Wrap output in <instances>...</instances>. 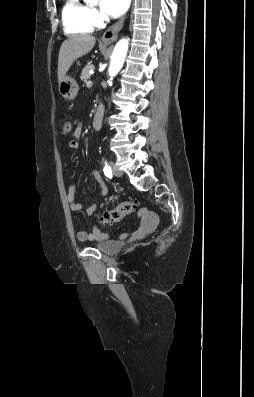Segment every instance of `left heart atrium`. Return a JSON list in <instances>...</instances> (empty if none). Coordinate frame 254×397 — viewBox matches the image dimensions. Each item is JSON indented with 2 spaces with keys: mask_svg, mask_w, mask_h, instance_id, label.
I'll list each match as a JSON object with an SVG mask.
<instances>
[{
  "mask_svg": "<svg viewBox=\"0 0 254 397\" xmlns=\"http://www.w3.org/2000/svg\"><path fill=\"white\" fill-rule=\"evenodd\" d=\"M130 0H101V10L110 17L122 15L129 7Z\"/></svg>",
  "mask_w": 254,
  "mask_h": 397,
  "instance_id": "1",
  "label": "left heart atrium"
}]
</instances>
